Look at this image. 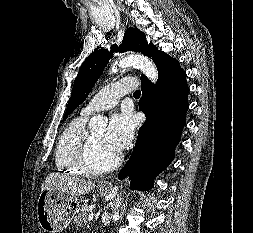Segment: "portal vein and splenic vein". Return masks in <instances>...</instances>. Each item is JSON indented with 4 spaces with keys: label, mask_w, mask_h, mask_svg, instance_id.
Masks as SVG:
<instances>
[{
    "label": "portal vein and splenic vein",
    "mask_w": 253,
    "mask_h": 233,
    "mask_svg": "<svg viewBox=\"0 0 253 233\" xmlns=\"http://www.w3.org/2000/svg\"><path fill=\"white\" fill-rule=\"evenodd\" d=\"M93 218H94V215H93V214H89V215H88V220H89V221H92Z\"/></svg>",
    "instance_id": "18ae733b"
}]
</instances>
